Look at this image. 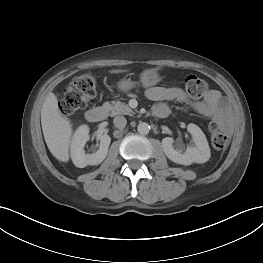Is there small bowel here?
<instances>
[{
  "label": "small bowel",
  "mask_w": 263,
  "mask_h": 263,
  "mask_svg": "<svg viewBox=\"0 0 263 263\" xmlns=\"http://www.w3.org/2000/svg\"><path fill=\"white\" fill-rule=\"evenodd\" d=\"M146 97L155 102L154 114L161 110H169L166 102L176 101L185 103L198 113L213 118L223 129H230L229 112L226 102L217 90H209L202 100H191L185 92L178 87H153L146 91Z\"/></svg>",
  "instance_id": "obj_1"
}]
</instances>
